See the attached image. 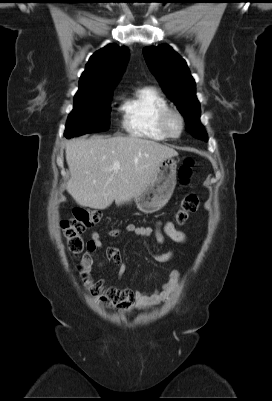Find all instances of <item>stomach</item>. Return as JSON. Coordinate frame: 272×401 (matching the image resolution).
Instances as JSON below:
<instances>
[{"instance_id":"0dacf381","label":"stomach","mask_w":272,"mask_h":401,"mask_svg":"<svg viewBox=\"0 0 272 401\" xmlns=\"http://www.w3.org/2000/svg\"><path fill=\"white\" fill-rule=\"evenodd\" d=\"M177 162L164 159L145 188L133 200L137 208L146 214L162 209L171 198L176 186ZM131 202V200H129Z\"/></svg>"}]
</instances>
